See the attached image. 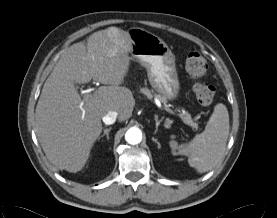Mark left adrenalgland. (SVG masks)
<instances>
[{
  "instance_id": "obj_1",
  "label": "left adrenal gland",
  "mask_w": 277,
  "mask_h": 218,
  "mask_svg": "<svg viewBox=\"0 0 277 218\" xmlns=\"http://www.w3.org/2000/svg\"><path fill=\"white\" fill-rule=\"evenodd\" d=\"M163 120L161 119V120H158V116L157 115H155V122H156V129H155V132L154 133H156L157 131H158V127H159V125H160V123L162 122ZM170 122V120L169 119H166V122H165V124H167V123H169Z\"/></svg>"
}]
</instances>
